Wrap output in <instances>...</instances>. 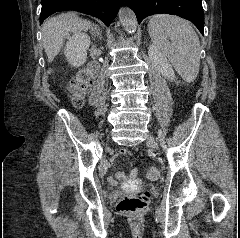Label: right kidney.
Returning a JSON list of instances; mask_svg holds the SVG:
<instances>
[{
  "label": "right kidney",
  "instance_id": "ca27d5eb",
  "mask_svg": "<svg viewBox=\"0 0 240 238\" xmlns=\"http://www.w3.org/2000/svg\"><path fill=\"white\" fill-rule=\"evenodd\" d=\"M90 38L87 34L77 32L68 39L64 54L68 63L73 67H80L86 62Z\"/></svg>",
  "mask_w": 240,
  "mask_h": 238
}]
</instances>
